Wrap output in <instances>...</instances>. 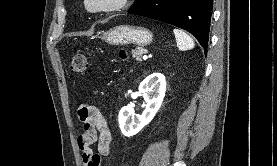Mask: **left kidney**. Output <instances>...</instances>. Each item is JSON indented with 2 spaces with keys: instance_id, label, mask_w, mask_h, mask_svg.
Returning a JSON list of instances; mask_svg holds the SVG:
<instances>
[{
  "instance_id": "obj_1",
  "label": "left kidney",
  "mask_w": 277,
  "mask_h": 166,
  "mask_svg": "<svg viewBox=\"0 0 277 166\" xmlns=\"http://www.w3.org/2000/svg\"><path fill=\"white\" fill-rule=\"evenodd\" d=\"M146 108L141 115L135 113L129 107H123L119 112V126L123 135L131 137L140 132L149 124L162 105L166 92V80L161 73H153L144 79L139 85Z\"/></svg>"
}]
</instances>
